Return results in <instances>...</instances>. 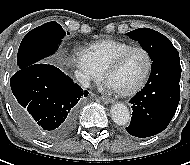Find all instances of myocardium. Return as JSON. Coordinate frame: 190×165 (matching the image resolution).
<instances>
[{
    "mask_svg": "<svg viewBox=\"0 0 190 165\" xmlns=\"http://www.w3.org/2000/svg\"><path fill=\"white\" fill-rule=\"evenodd\" d=\"M134 50H140L146 55V57H147V68H146V71H145L143 77L141 78V80L132 88L127 89V90H117V89L112 88L117 94H119L121 96H131V95H134L137 92H139L145 86V84H146V82H147V80L151 74L152 68H153V58H152L150 51L141 45H132V46L124 49L123 51H121L112 60V62L107 67V69L104 73L105 81L107 84H108V80H109L110 75L120 66V64L122 63L124 58L130 52H132Z\"/></svg>",
    "mask_w": 190,
    "mask_h": 165,
    "instance_id": "1",
    "label": "myocardium"
}]
</instances>
